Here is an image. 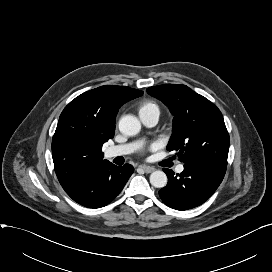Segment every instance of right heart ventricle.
I'll use <instances>...</instances> for the list:
<instances>
[{"mask_svg":"<svg viewBox=\"0 0 272 272\" xmlns=\"http://www.w3.org/2000/svg\"><path fill=\"white\" fill-rule=\"evenodd\" d=\"M156 111L159 112L158 105L153 101H145L139 106V114Z\"/></svg>","mask_w":272,"mask_h":272,"instance_id":"right-heart-ventricle-1","label":"right heart ventricle"}]
</instances>
